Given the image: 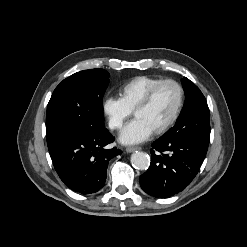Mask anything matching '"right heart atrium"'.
Returning <instances> with one entry per match:
<instances>
[{
	"label": "right heart atrium",
	"mask_w": 247,
	"mask_h": 247,
	"mask_svg": "<svg viewBox=\"0 0 247 247\" xmlns=\"http://www.w3.org/2000/svg\"><path fill=\"white\" fill-rule=\"evenodd\" d=\"M102 111L110 129H120L130 117L131 111L125 106L121 98L106 96L102 101Z\"/></svg>",
	"instance_id": "obj_1"
}]
</instances>
